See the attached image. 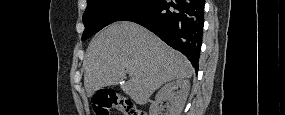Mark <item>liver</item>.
I'll use <instances>...</instances> for the list:
<instances>
[{"label":"liver","mask_w":285,"mask_h":115,"mask_svg":"<svg viewBox=\"0 0 285 115\" xmlns=\"http://www.w3.org/2000/svg\"><path fill=\"white\" fill-rule=\"evenodd\" d=\"M83 65L88 96L124 81L129 74L121 89L141 105L166 82L190 78L194 71L185 56L133 22L114 23L99 32L89 44Z\"/></svg>","instance_id":"liver-1"}]
</instances>
